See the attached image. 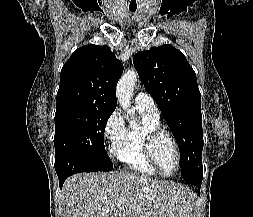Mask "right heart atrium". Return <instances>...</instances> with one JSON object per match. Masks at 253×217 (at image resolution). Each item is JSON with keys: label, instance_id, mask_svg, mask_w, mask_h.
<instances>
[{"label": "right heart atrium", "instance_id": "d8ad5b80", "mask_svg": "<svg viewBox=\"0 0 253 217\" xmlns=\"http://www.w3.org/2000/svg\"><path fill=\"white\" fill-rule=\"evenodd\" d=\"M125 132V124L119 110H114L107 118L104 128L103 137L109 148L114 150L117 143L123 137Z\"/></svg>", "mask_w": 253, "mask_h": 217}]
</instances>
